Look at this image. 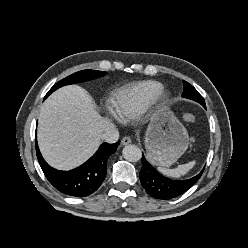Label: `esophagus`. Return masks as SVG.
I'll return each instance as SVG.
<instances>
[{"label": "esophagus", "instance_id": "34e87169", "mask_svg": "<svg viewBox=\"0 0 248 248\" xmlns=\"http://www.w3.org/2000/svg\"><path fill=\"white\" fill-rule=\"evenodd\" d=\"M132 142V139L128 136L124 137L122 140H121V144L122 145H128Z\"/></svg>", "mask_w": 248, "mask_h": 248}]
</instances>
